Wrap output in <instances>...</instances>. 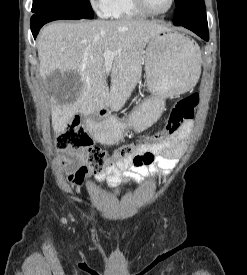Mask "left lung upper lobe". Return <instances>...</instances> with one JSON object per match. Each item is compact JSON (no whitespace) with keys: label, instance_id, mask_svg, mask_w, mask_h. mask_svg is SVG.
I'll return each mask as SVG.
<instances>
[{"label":"left lung upper lobe","instance_id":"left-lung-upper-lobe-1","mask_svg":"<svg viewBox=\"0 0 247 275\" xmlns=\"http://www.w3.org/2000/svg\"><path fill=\"white\" fill-rule=\"evenodd\" d=\"M174 25L207 23L204 0H175Z\"/></svg>","mask_w":247,"mask_h":275}]
</instances>
